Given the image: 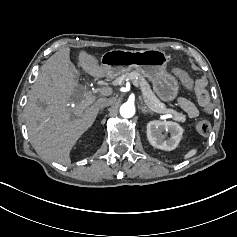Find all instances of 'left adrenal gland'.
<instances>
[{
	"label": "left adrenal gland",
	"instance_id": "1",
	"mask_svg": "<svg viewBox=\"0 0 237 237\" xmlns=\"http://www.w3.org/2000/svg\"><path fill=\"white\" fill-rule=\"evenodd\" d=\"M140 108H141L143 113H145V114H147V113L152 114V111H150L143 102H141Z\"/></svg>",
	"mask_w": 237,
	"mask_h": 237
}]
</instances>
